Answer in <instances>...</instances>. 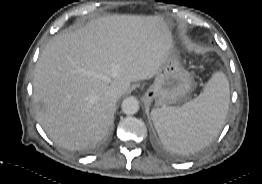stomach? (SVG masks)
Wrapping results in <instances>:
<instances>
[{"mask_svg": "<svg viewBox=\"0 0 262 184\" xmlns=\"http://www.w3.org/2000/svg\"><path fill=\"white\" fill-rule=\"evenodd\" d=\"M170 26L171 21H165ZM194 87L191 75L184 69L178 56L172 51L158 70L147 96L155 100L156 106L166 107L188 99Z\"/></svg>", "mask_w": 262, "mask_h": 184, "instance_id": "obj_1", "label": "stomach"}]
</instances>
